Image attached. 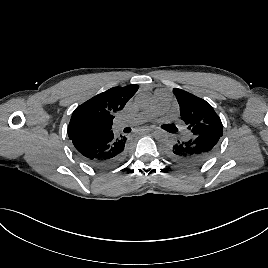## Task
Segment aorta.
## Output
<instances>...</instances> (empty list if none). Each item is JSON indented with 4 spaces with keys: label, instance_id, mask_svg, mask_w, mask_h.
<instances>
[{
    "label": "aorta",
    "instance_id": "obj_1",
    "mask_svg": "<svg viewBox=\"0 0 268 268\" xmlns=\"http://www.w3.org/2000/svg\"><path fill=\"white\" fill-rule=\"evenodd\" d=\"M150 97L146 94L138 95L136 99V105L140 108H145L149 104ZM153 138L156 142L161 143L165 140L166 135L163 131L158 130L154 133Z\"/></svg>",
    "mask_w": 268,
    "mask_h": 268
}]
</instances>
